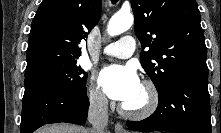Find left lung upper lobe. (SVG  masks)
I'll return each mask as SVG.
<instances>
[{
	"label": "left lung upper lobe",
	"instance_id": "5c2ea615",
	"mask_svg": "<svg viewBox=\"0 0 221 133\" xmlns=\"http://www.w3.org/2000/svg\"><path fill=\"white\" fill-rule=\"evenodd\" d=\"M131 8L143 49L140 61L158 93L180 76L208 77L207 49L195 0H131Z\"/></svg>",
	"mask_w": 221,
	"mask_h": 133
}]
</instances>
